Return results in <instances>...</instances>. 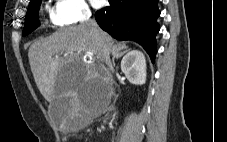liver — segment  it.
Returning <instances> with one entry per match:
<instances>
[{"mask_svg": "<svg viewBox=\"0 0 227 142\" xmlns=\"http://www.w3.org/2000/svg\"><path fill=\"white\" fill-rule=\"evenodd\" d=\"M100 32L110 52L127 48L125 43L115 44L109 34L102 30ZM75 51L78 53L74 54ZM28 57L40 93L49 103L66 94L73 105L72 117L78 115L83 96L90 89L101 86L105 80L109 83L112 81L111 74L107 78L93 69L95 61L105 60L99 43L93 38L89 28L82 24L59 29L49 37L34 42L29 48ZM89 57L93 61L84 60ZM75 62L76 67L73 66ZM69 66L70 70L77 68L73 72L74 78H66V73H70ZM68 128L64 129L65 132H68Z\"/></svg>", "mask_w": 227, "mask_h": 142, "instance_id": "obj_1", "label": "liver"}]
</instances>
